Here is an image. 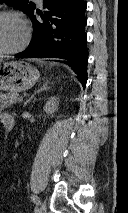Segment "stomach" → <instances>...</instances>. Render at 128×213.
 <instances>
[{
  "instance_id": "0dacf381",
  "label": "stomach",
  "mask_w": 128,
  "mask_h": 213,
  "mask_svg": "<svg viewBox=\"0 0 128 213\" xmlns=\"http://www.w3.org/2000/svg\"><path fill=\"white\" fill-rule=\"evenodd\" d=\"M39 71L26 61L0 60V90L13 93L30 89L39 79Z\"/></svg>"
}]
</instances>
